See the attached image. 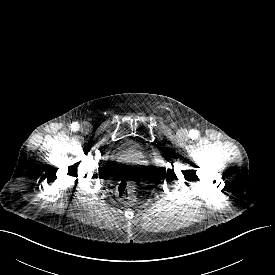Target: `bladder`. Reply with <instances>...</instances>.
<instances>
[{
  "instance_id": "obj_1",
  "label": "bladder",
  "mask_w": 275,
  "mask_h": 275,
  "mask_svg": "<svg viewBox=\"0 0 275 275\" xmlns=\"http://www.w3.org/2000/svg\"><path fill=\"white\" fill-rule=\"evenodd\" d=\"M154 165L152 151L133 136L119 139L109 149L105 160L107 172L117 179H143L152 172Z\"/></svg>"
}]
</instances>
